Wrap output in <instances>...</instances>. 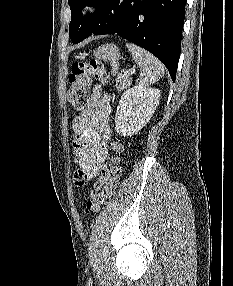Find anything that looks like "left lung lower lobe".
<instances>
[{
    "label": "left lung lower lobe",
    "mask_w": 233,
    "mask_h": 286,
    "mask_svg": "<svg viewBox=\"0 0 233 286\" xmlns=\"http://www.w3.org/2000/svg\"><path fill=\"white\" fill-rule=\"evenodd\" d=\"M186 0H105L87 30L90 35L117 34L154 54L175 81L181 51Z\"/></svg>",
    "instance_id": "1"
}]
</instances>
